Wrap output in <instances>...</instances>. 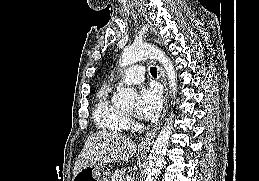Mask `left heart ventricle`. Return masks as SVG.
Listing matches in <instances>:
<instances>
[{
	"mask_svg": "<svg viewBox=\"0 0 259 181\" xmlns=\"http://www.w3.org/2000/svg\"><path fill=\"white\" fill-rule=\"evenodd\" d=\"M127 112H132V109L128 110Z\"/></svg>",
	"mask_w": 259,
	"mask_h": 181,
	"instance_id": "1",
	"label": "left heart ventricle"
}]
</instances>
